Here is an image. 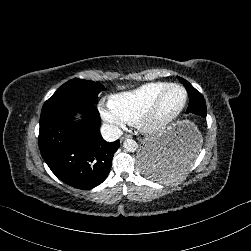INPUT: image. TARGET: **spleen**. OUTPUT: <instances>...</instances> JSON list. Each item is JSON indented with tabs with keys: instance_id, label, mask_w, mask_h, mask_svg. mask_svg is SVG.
I'll return each mask as SVG.
<instances>
[{
	"instance_id": "obj_1",
	"label": "spleen",
	"mask_w": 251,
	"mask_h": 251,
	"mask_svg": "<svg viewBox=\"0 0 251 251\" xmlns=\"http://www.w3.org/2000/svg\"><path fill=\"white\" fill-rule=\"evenodd\" d=\"M200 148L195 147L194 151L200 150ZM193 159H194V154L191 152L187 153L184 156V158L180 160L179 167L176 168V171H178V174H174L173 172L175 170H171L169 167L150 165V169L148 171L147 177H151L155 179L156 181H168V180L176 179L188 170V168L192 164Z\"/></svg>"
}]
</instances>
